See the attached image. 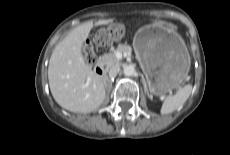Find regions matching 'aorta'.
<instances>
[{"instance_id":"obj_1","label":"aorta","mask_w":230,"mask_h":155,"mask_svg":"<svg viewBox=\"0 0 230 155\" xmlns=\"http://www.w3.org/2000/svg\"><path fill=\"white\" fill-rule=\"evenodd\" d=\"M135 72V67L132 64L123 67V73L125 76H133Z\"/></svg>"}]
</instances>
